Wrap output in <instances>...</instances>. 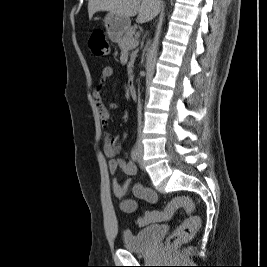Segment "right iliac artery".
Returning a JSON list of instances; mask_svg holds the SVG:
<instances>
[{"instance_id": "right-iliac-artery-1", "label": "right iliac artery", "mask_w": 267, "mask_h": 267, "mask_svg": "<svg viewBox=\"0 0 267 267\" xmlns=\"http://www.w3.org/2000/svg\"><path fill=\"white\" fill-rule=\"evenodd\" d=\"M138 157H139V154H138V151L136 148H133L132 151H131V158L133 161L137 162L138 161Z\"/></svg>"}]
</instances>
